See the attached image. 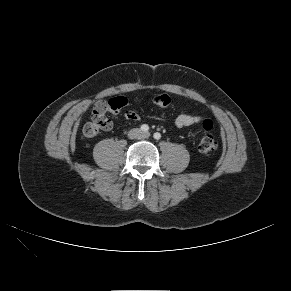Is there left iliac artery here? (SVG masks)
<instances>
[{
	"mask_svg": "<svg viewBox=\"0 0 291 291\" xmlns=\"http://www.w3.org/2000/svg\"><path fill=\"white\" fill-rule=\"evenodd\" d=\"M153 137H154V139L159 140L161 138V134L156 132V133H154Z\"/></svg>",
	"mask_w": 291,
	"mask_h": 291,
	"instance_id": "obj_1",
	"label": "left iliac artery"
}]
</instances>
